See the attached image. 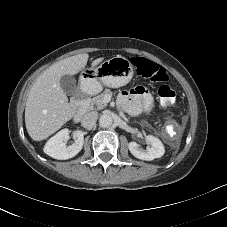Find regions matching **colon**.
Instances as JSON below:
<instances>
[{
  "label": "colon",
  "instance_id": "colon-1",
  "mask_svg": "<svg viewBox=\"0 0 227 227\" xmlns=\"http://www.w3.org/2000/svg\"><path fill=\"white\" fill-rule=\"evenodd\" d=\"M135 63L138 75L145 77L152 82L162 83L157 91L161 103L167 107L173 106L176 100V93L170 85L166 84V81L168 80L166 70L159 65L142 58H138Z\"/></svg>",
  "mask_w": 227,
  "mask_h": 227
}]
</instances>
